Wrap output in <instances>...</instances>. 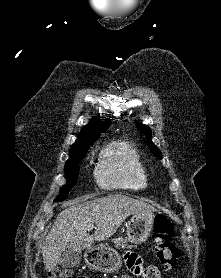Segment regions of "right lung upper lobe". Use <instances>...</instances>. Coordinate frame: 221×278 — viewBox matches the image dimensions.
Returning <instances> with one entry per match:
<instances>
[{
	"label": "right lung upper lobe",
	"instance_id": "1",
	"mask_svg": "<svg viewBox=\"0 0 221 278\" xmlns=\"http://www.w3.org/2000/svg\"><path fill=\"white\" fill-rule=\"evenodd\" d=\"M110 120H106L104 123L97 122L95 119L88 125L84 126L78 136L76 142L71 146V150L75 151L84 146L91 145L100 136V133L106 131L110 126Z\"/></svg>",
	"mask_w": 221,
	"mask_h": 278
}]
</instances>
